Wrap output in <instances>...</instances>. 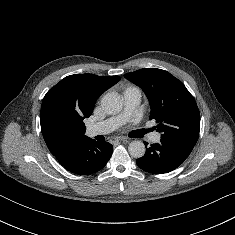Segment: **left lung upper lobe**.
Listing matches in <instances>:
<instances>
[{
    "label": "left lung upper lobe",
    "mask_w": 235,
    "mask_h": 235,
    "mask_svg": "<svg viewBox=\"0 0 235 235\" xmlns=\"http://www.w3.org/2000/svg\"><path fill=\"white\" fill-rule=\"evenodd\" d=\"M124 77L145 92L161 139L195 145L200 131L197 104L184 84L169 72L147 68L127 73Z\"/></svg>",
    "instance_id": "5c2ea615"
}]
</instances>
